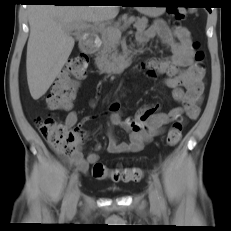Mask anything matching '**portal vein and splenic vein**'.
<instances>
[{"mask_svg":"<svg viewBox=\"0 0 231 231\" xmlns=\"http://www.w3.org/2000/svg\"><path fill=\"white\" fill-rule=\"evenodd\" d=\"M133 22H134V18H130L120 29L107 27L104 23H100V22L94 23L93 25L88 23H82L80 26L68 28V32L71 33L75 30H86L90 27H93L99 32H107L110 35H112L114 38L119 39L121 37V31L125 30Z\"/></svg>","mask_w":231,"mask_h":231,"instance_id":"portal-vein-and-splenic-vein-1","label":"portal vein and splenic vein"}]
</instances>
